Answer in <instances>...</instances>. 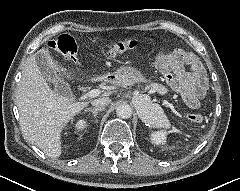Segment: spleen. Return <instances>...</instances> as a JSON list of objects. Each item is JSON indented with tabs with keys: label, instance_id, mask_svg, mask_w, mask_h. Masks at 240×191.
Segmentation results:
<instances>
[{
	"label": "spleen",
	"instance_id": "spleen-1",
	"mask_svg": "<svg viewBox=\"0 0 240 191\" xmlns=\"http://www.w3.org/2000/svg\"><path fill=\"white\" fill-rule=\"evenodd\" d=\"M148 102L145 105V111L141 115L142 120L149 127L163 128L167 130L170 128V122L164 114L161 107L156 104L150 103L149 99L145 98Z\"/></svg>",
	"mask_w": 240,
	"mask_h": 191
}]
</instances>
